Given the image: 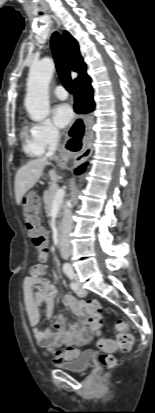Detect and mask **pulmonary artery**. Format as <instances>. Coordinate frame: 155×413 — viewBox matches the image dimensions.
I'll list each match as a JSON object with an SVG mask.
<instances>
[{
	"label": "pulmonary artery",
	"mask_w": 155,
	"mask_h": 413,
	"mask_svg": "<svg viewBox=\"0 0 155 413\" xmlns=\"http://www.w3.org/2000/svg\"><path fill=\"white\" fill-rule=\"evenodd\" d=\"M54 95L60 100H65L68 97L67 91L63 86H57L54 89Z\"/></svg>",
	"instance_id": "e3ab8cb5"
}]
</instances>
